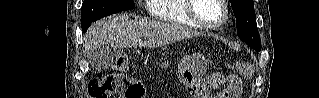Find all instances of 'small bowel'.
Instances as JSON below:
<instances>
[{
    "mask_svg": "<svg viewBox=\"0 0 319 98\" xmlns=\"http://www.w3.org/2000/svg\"><path fill=\"white\" fill-rule=\"evenodd\" d=\"M228 81L234 82L235 79H226L225 77L219 75L213 76L209 79L210 86L213 88L219 87Z\"/></svg>",
    "mask_w": 319,
    "mask_h": 98,
    "instance_id": "c3829d8e",
    "label": "small bowel"
}]
</instances>
